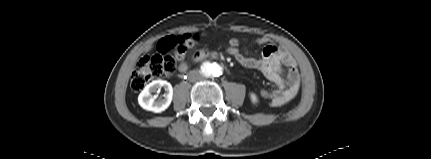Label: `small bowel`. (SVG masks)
Instances as JSON below:
<instances>
[{
	"mask_svg": "<svg viewBox=\"0 0 431 159\" xmlns=\"http://www.w3.org/2000/svg\"><path fill=\"white\" fill-rule=\"evenodd\" d=\"M256 43L264 46L259 57H253L244 52L240 56H231L244 67L260 70L269 81L277 85L278 89L268 92L265 97L269 99L271 107H279L290 102L297 95L300 87V75L295 60L286 50L274 45L268 37H261L256 40ZM239 46V40L233 38L229 41V45L223 46V51L228 53L231 47ZM187 69L185 58L180 57L179 71L185 72Z\"/></svg>",
	"mask_w": 431,
	"mask_h": 159,
	"instance_id": "c3829d8e",
	"label": "small bowel"
}]
</instances>
